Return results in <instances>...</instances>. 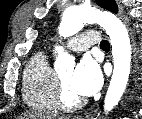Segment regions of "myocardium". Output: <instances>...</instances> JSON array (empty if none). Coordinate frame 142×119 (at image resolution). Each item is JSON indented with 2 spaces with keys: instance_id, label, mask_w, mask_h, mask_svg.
Masks as SVG:
<instances>
[{
  "instance_id": "f54148a6",
  "label": "myocardium",
  "mask_w": 142,
  "mask_h": 119,
  "mask_svg": "<svg viewBox=\"0 0 142 119\" xmlns=\"http://www.w3.org/2000/svg\"><path fill=\"white\" fill-rule=\"evenodd\" d=\"M55 102L56 106L62 110H76L83 106L85 101L81 98L74 100H68L66 96V91L60 77L56 76V86H55Z\"/></svg>"
}]
</instances>
